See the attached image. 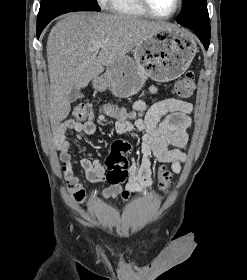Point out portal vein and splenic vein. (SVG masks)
<instances>
[{
    "mask_svg": "<svg viewBox=\"0 0 247 280\" xmlns=\"http://www.w3.org/2000/svg\"><path fill=\"white\" fill-rule=\"evenodd\" d=\"M101 47H102L101 44H97V45L94 46V50H99Z\"/></svg>",
    "mask_w": 247,
    "mask_h": 280,
    "instance_id": "obj_1",
    "label": "portal vein and splenic vein"
}]
</instances>
